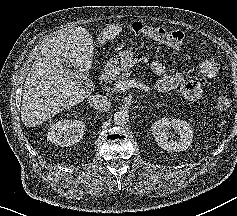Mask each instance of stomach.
<instances>
[{
    "instance_id": "0dacf381",
    "label": "stomach",
    "mask_w": 237,
    "mask_h": 216,
    "mask_svg": "<svg viewBox=\"0 0 237 216\" xmlns=\"http://www.w3.org/2000/svg\"><path fill=\"white\" fill-rule=\"evenodd\" d=\"M135 63L136 59L133 52L126 50L111 58L107 63V68L115 71H126L132 68Z\"/></svg>"
}]
</instances>
